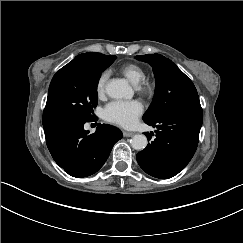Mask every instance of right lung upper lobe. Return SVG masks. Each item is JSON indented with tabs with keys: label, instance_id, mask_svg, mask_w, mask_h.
<instances>
[{
	"label": "right lung upper lobe",
	"instance_id": "1",
	"mask_svg": "<svg viewBox=\"0 0 243 243\" xmlns=\"http://www.w3.org/2000/svg\"><path fill=\"white\" fill-rule=\"evenodd\" d=\"M109 55L101 53L88 52L76 56L71 62L65 65L60 70L76 68V67H95L100 64Z\"/></svg>",
	"mask_w": 243,
	"mask_h": 243
}]
</instances>
